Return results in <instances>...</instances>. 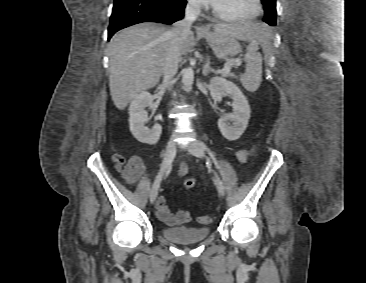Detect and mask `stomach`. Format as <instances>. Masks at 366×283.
Segmentation results:
<instances>
[{"label": "stomach", "mask_w": 366, "mask_h": 283, "mask_svg": "<svg viewBox=\"0 0 366 283\" xmlns=\"http://www.w3.org/2000/svg\"><path fill=\"white\" fill-rule=\"evenodd\" d=\"M210 44L214 54L219 59H228L241 51V46L236 38L221 33L219 31L199 32Z\"/></svg>", "instance_id": "1"}]
</instances>
